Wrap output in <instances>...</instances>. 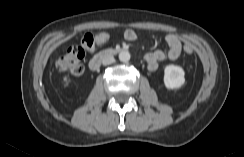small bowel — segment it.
I'll return each instance as SVG.
<instances>
[{
    "label": "small bowel",
    "mask_w": 244,
    "mask_h": 157,
    "mask_svg": "<svg viewBox=\"0 0 244 157\" xmlns=\"http://www.w3.org/2000/svg\"><path fill=\"white\" fill-rule=\"evenodd\" d=\"M124 38L127 41H135L137 39V33L132 29H127L124 32ZM165 41L169 47L167 52L162 50H155L145 55L144 59L147 67L150 71H155L159 67V63L166 60H177L182 52V44L179 38L173 34H168L165 37Z\"/></svg>",
    "instance_id": "1"
}]
</instances>
